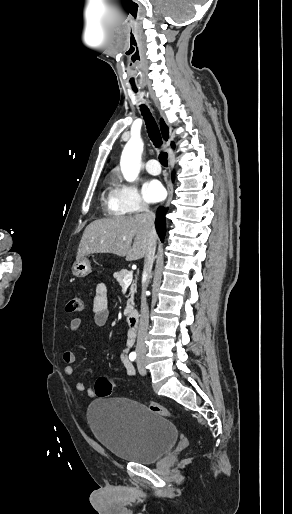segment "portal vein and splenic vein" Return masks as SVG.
I'll return each instance as SVG.
<instances>
[{
  "instance_id": "18ae733b",
  "label": "portal vein and splenic vein",
  "mask_w": 292,
  "mask_h": 514,
  "mask_svg": "<svg viewBox=\"0 0 292 514\" xmlns=\"http://www.w3.org/2000/svg\"><path fill=\"white\" fill-rule=\"evenodd\" d=\"M132 278H133V272H129V274H127L126 278H124L125 286H130V284L132 282Z\"/></svg>"
}]
</instances>
